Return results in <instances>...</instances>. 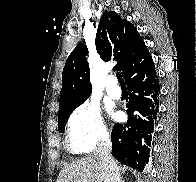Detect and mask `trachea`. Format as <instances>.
I'll list each match as a JSON object with an SVG mask.
<instances>
[{"label": "trachea", "instance_id": "3493384b", "mask_svg": "<svg viewBox=\"0 0 196 182\" xmlns=\"http://www.w3.org/2000/svg\"><path fill=\"white\" fill-rule=\"evenodd\" d=\"M116 76H117V79H118V81H119L120 85H125V83H124V80H123V78H122L121 73H120V72H118V73L116 74Z\"/></svg>", "mask_w": 196, "mask_h": 182}]
</instances>
